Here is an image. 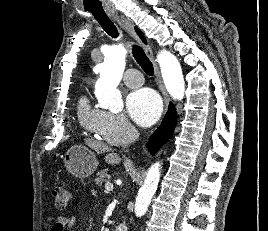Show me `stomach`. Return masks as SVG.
<instances>
[{"instance_id":"stomach-1","label":"stomach","mask_w":268,"mask_h":231,"mask_svg":"<svg viewBox=\"0 0 268 231\" xmlns=\"http://www.w3.org/2000/svg\"><path fill=\"white\" fill-rule=\"evenodd\" d=\"M63 160L67 171L81 179L92 175L98 166L96 155L84 145L69 148Z\"/></svg>"}]
</instances>
